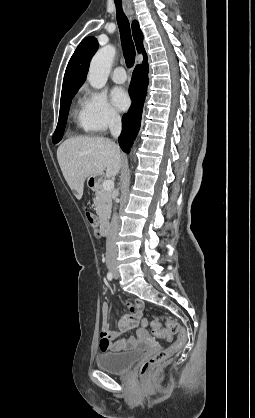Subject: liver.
Here are the masks:
<instances>
[{"label":"liver","mask_w":255,"mask_h":418,"mask_svg":"<svg viewBox=\"0 0 255 418\" xmlns=\"http://www.w3.org/2000/svg\"><path fill=\"white\" fill-rule=\"evenodd\" d=\"M57 159L63 176L80 200L84 182L106 171L107 177H115L122 165L120 147L105 137H73L65 140L57 149Z\"/></svg>","instance_id":"liver-1"}]
</instances>
